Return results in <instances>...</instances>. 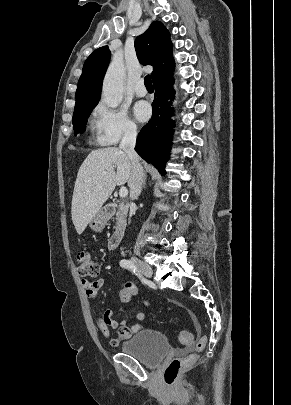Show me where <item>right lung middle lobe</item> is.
Returning <instances> with one entry per match:
<instances>
[{
  "label": "right lung middle lobe",
  "mask_w": 291,
  "mask_h": 405,
  "mask_svg": "<svg viewBox=\"0 0 291 405\" xmlns=\"http://www.w3.org/2000/svg\"><path fill=\"white\" fill-rule=\"evenodd\" d=\"M94 107H90V108H86L84 110L74 112L72 122L74 125V131L76 134L83 133L85 131L86 124H87V118L89 117V115Z\"/></svg>",
  "instance_id": "1"
}]
</instances>
